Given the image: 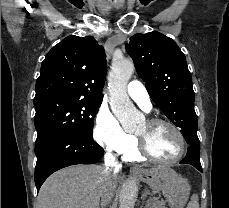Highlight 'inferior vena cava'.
<instances>
[{
	"label": "inferior vena cava",
	"mask_w": 229,
	"mask_h": 208,
	"mask_svg": "<svg viewBox=\"0 0 229 208\" xmlns=\"http://www.w3.org/2000/svg\"><path fill=\"white\" fill-rule=\"evenodd\" d=\"M104 162H105V168L102 172V174H104V178H108V180H112V178H114V180H116V178H117L116 170H118V162H116V160H115V158H113L112 154H105ZM101 188H102L101 208H105L106 204H108V202H110L109 196H110V194H112V196H113V192H110V188H109L107 182H106V184H102Z\"/></svg>",
	"instance_id": "obj_1"
}]
</instances>
